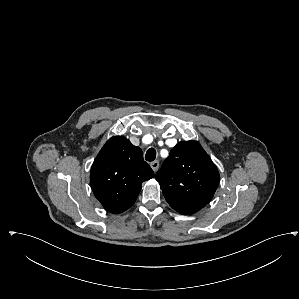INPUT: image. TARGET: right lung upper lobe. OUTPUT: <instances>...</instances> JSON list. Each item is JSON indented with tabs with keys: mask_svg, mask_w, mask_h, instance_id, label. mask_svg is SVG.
I'll use <instances>...</instances> for the list:
<instances>
[{
	"mask_svg": "<svg viewBox=\"0 0 299 299\" xmlns=\"http://www.w3.org/2000/svg\"><path fill=\"white\" fill-rule=\"evenodd\" d=\"M154 177L137 146L121 136L110 138L91 167L90 183L96 198L108 211L119 214L137 199L142 182Z\"/></svg>",
	"mask_w": 299,
	"mask_h": 299,
	"instance_id": "cb5924a9",
	"label": "right lung upper lobe"
}]
</instances>
